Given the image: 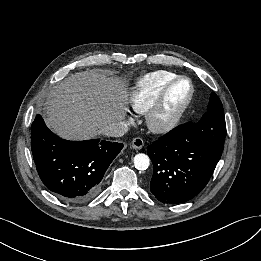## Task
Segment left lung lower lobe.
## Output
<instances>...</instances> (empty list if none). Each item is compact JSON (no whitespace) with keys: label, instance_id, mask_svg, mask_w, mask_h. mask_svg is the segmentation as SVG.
<instances>
[{"label":"left lung lower lobe","instance_id":"1","mask_svg":"<svg viewBox=\"0 0 261 261\" xmlns=\"http://www.w3.org/2000/svg\"><path fill=\"white\" fill-rule=\"evenodd\" d=\"M197 123H185L155 141L147 150L153 163L152 194L162 203L193 199L207 185L222 151L199 141Z\"/></svg>","mask_w":261,"mask_h":261}]
</instances>
